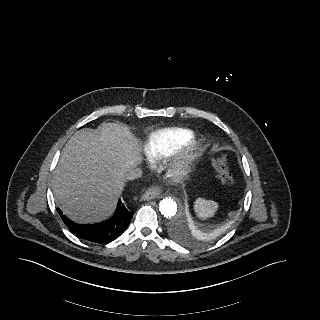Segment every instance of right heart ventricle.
I'll list each match as a JSON object with an SVG mask.
<instances>
[{
	"mask_svg": "<svg viewBox=\"0 0 320 320\" xmlns=\"http://www.w3.org/2000/svg\"><path fill=\"white\" fill-rule=\"evenodd\" d=\"M193 137L192 131L171 128L157 131L144 144V152L154 160L167 158L182 150Z\"/></svg>",
	"mask_w": 320,
	"mask_h": 320,
	"instance_id": "obj_1",
	"label": "right heart ventricle"
}]
</instances>
